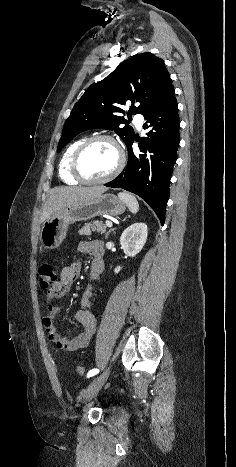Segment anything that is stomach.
Masks as SVG:
<instances>
[{"mask_svg": "<svg viewBox=\"0 0 236 467\" xmlns=\"http://www.w3.org/2000/svg\"><path fill=\"white\" fill-rule=\"evenodd\" d=\"M126 204L113 194H103L90 201L66 206L52 214L43 224L40 241L45 249L60 246L71 223L90 220L100 215L117 216L125 212Z\"/></svg>", "mask_w": 236, "mask_h": 467, "instance_id": "obj_1", "label": "stomach"}]
</instances>
